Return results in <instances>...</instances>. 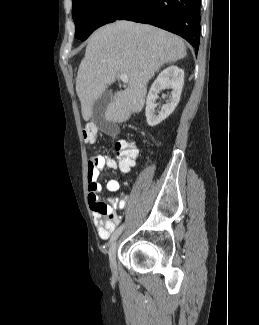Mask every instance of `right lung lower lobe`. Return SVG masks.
<instances>
[{
    "label": "right lung lower lobe",
    "instance_id": "right-lung-lower-lobe-1",
    "mask_svg": "<svg viewBox=\"0 0 259 325\" xmlns=\"http://www.w3.org/2000/svg\"><path fill=\"white\" fill-rule=\"evenodd\" d=\"M117 19L157 26L199 49L201 0H126Z\"/></svg>",
    "mask_w": 259,
    "mask_h": 325
}]
</instances>
